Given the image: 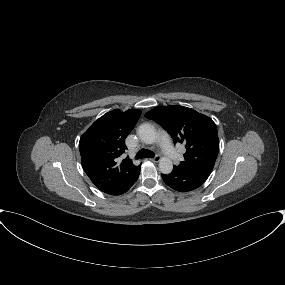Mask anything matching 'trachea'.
Returning a JSON list of instances; mask_svg holds the SVG:
<instances>
[{
	"instance_id": "trachea-1",
	"label": "trachea",
	"mask_w": 285,
	"mask_h": 285,
	"mask_svg": "<svg viewBox=\"0 0 285 285\" xmlns=\"http://www.w3.org/2000/svg\"><path fill=\"white\" fill-rule=\"evenodd\" d=\"M155 156V154L147 149H141L140 151H138V153L136 154V158L137 159H142V158H153Z\"/></svg>"
}]
</instances>
